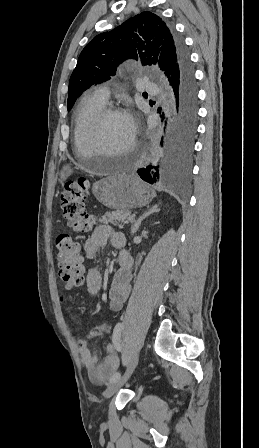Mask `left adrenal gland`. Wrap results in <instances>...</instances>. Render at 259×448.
<instances>
[{"label": "left adrenal gland", "instance_id": "a2214340", "mask_svg": "<svg viewBox=\"0 0 259 448\" xmlns=\"http://www.w3.org/2000/svg\"><path fill=\"white\" fill-rule=\"evenodd\" d=\"M153 212H159L158 206H153V208H150L149 212H145V214H143V216H140L139 220H137V222H135V224L132 228L131 234H136L137 230H139V228L141 226V222H143V220H145V218H147V216H150V214H153Z\"/></svg>", "mask_w": 259, "mask_h": 448}]
</instances>
